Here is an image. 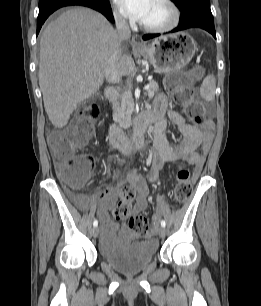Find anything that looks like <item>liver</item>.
<instances>
[{
  "mask_svg": "<svg viewBox=\"0 0 261 306\" xmlns=\"http://www.w3.org/2000/svg\"><path fill=\"white\" fill-rule=\"evenodd\" d=\"M116 48L119 76H132L134 60L122 53L117 31L102 14L75 7L46 26L40 40L39 85L56 128L65 127L77 104L97 93L104 63Z\"/></svg>",
  "mask_w": 261,
  "mask_h": 306,
  "instance_id": "1",
  "label": "liver"
}]
</instances>
